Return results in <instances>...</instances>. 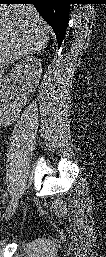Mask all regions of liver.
Segmentation results:
<instances>
[{"instance_id":"1","label":"liver","mask_w":106,"mask_h":257,"mask_svg":"<svg viewBox=\"0 0 106 257\" xmlns=\"http://www.w3.org/2000/svg\"><path fill=\"white\" fill-rule=\"evenodd\" d=\"M50 27L33 5L0 7V65L12 64L28 54L40 52L49 41Z\"/></svg>"}]
</instances>
